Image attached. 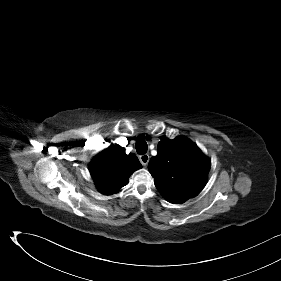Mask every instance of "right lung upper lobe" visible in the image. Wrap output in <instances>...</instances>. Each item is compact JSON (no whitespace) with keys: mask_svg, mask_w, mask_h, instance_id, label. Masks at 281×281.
<instances>
[{"mask_svg":"<svg viewBox=\"0 0 281 281\" xmlns=\"http://www.w3.org/2000/svg\"><path fill=\"white\" fill-rule=\"evenodd\" d=\"M142 166L134 154H126L125 148L111 145L97 154L89 167L100 192L112 195L128 183L129 176Z\"/></svg>","mask_w":281,"mask_h":281,"instance_id":"cb5924a9","label":"right lung upper lobe"}]
</instances>
